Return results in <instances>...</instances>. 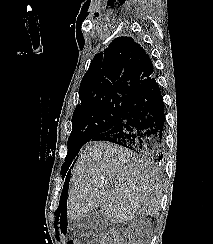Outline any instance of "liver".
Listing matches in <instances>:
<instances>
[{"instance_id":"6515ba94","label":"liver","mask_w":213,"mask_h":244,"mask_svg":"<svg viewBox=\"0 0 213 244\" xmlns=\"http://www.w3.org/2000/svg\"><path fill=\"white\" fill-rule=\"evenodd\" d=\"M161 187L144 158L112 143H90L72 173L67 217L74 221L98 208L111 223L129 222L141 213L156 215Z\"/></svg>"}]
</instances>
